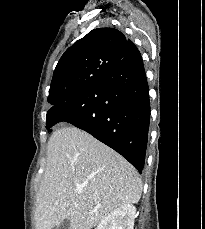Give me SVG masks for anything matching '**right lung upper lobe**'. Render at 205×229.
I'll use <instances>...</instances> for the list:
<instances>
[{"label":"right lung upper lobe","instance_id":"1","mask_svg":"<svg viewBox=\"0 0 205 229\" xmlns=\"http://www.w3.org/2000/svg\"><path fill=\"white\" fill-rule=\"evenodd\" d=\"M131 47L137 49L119 30L97 28L90 31L60 58L48 102L59 104L97 82L98 78H104L126 57Z\"/></svg>","mask_w":205,"mask_h":229}]
</instances>
